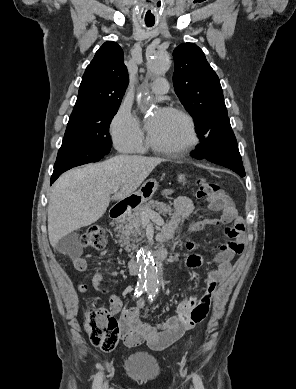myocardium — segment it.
Masks as SVG:
<instances>
[{"instance_id":"1","label":"myocardium","mask_w":296,"mask_h":389,"mask_svg":"<svg viewBox=\"0 0 296 389\" xmlns=\"http://www.w3.org/2000/svg\"><path fill=\"white\" fill-rule=\"evenodd\" d=\"M166 111L172 112L178 116H180L186 123L187 131H188V138L187 140L177 146H164L156 143L151 134L148 133L147 141L149 146L161 153H165L168 155H182L187 152H189L198 142V133L196 129V125L194 122L193 117L186 112L185 110L178 108V107H168Z\"/></svg>"}]
</instances>
